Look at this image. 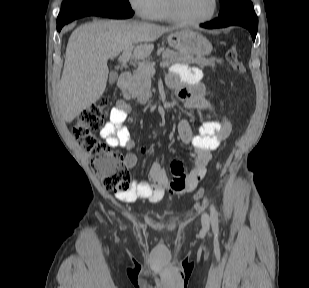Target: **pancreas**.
I'll list each match as a JSON object with an SVG mask.
<instances>
[{"mask_svg": "<svg viewBox=\"0 0 309 288\" xmlns=\"http://www.w3.org/2000/svg\"><path fill=\"white\" fill-rule=\"evenodd\" d=\"M157 53H162V58L164 61H167L168 64L173 63H183V64H197L200 67L211 66L214 67L215 63H222V59H215L213 57H193L187 56L180 53H177L168 48H161ZM152 66V64L148 63ZM151 78L152 74L148 71L137 68L133 72V77L130 83L128 84V92L132 98L137 99L139 103L145 104L149 101L152 96L151 92Z\"/></svg>", "mask_w": 309, "mask_h": 288, "instance_id": "pancreas-1", "label": "pancreas"}]
</instances>
